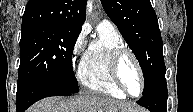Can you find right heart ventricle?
<instances>
[{
	"label": "right heart ventricle",
	"instance_id": "right-heart-ventricle-1",
	"mask_svg": "<svg viewBox=\"0 0 193 112\" xmlns=\"http://www.w3.org/2000/svg\"><path fill=\"white\" fill-rule=\"evenodd\" d=\"M122 46L123 38L115 28L99 26L98 37L90 43L78 74L86 89L117 99L126 98L113 82L109 70L111 53Z\"/></svg>",
	"mask_w": 193,
	"mask_h": 112
}]
</instances>
